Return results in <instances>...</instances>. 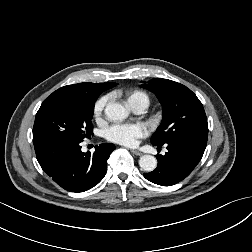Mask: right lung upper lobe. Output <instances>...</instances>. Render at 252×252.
I'll return each instance as SVG.
<instances>
[{"label": "right lung upper lobe", "instance_id": "1", "mask_svg": "<svg viewBox=\"0 0 252 252\" xmlns=\"http://www.w3.org/2000/svg\"><path fill=\"white\" fill-rule=\"evenodd\" d=\"M115 85H117V83L84 82V83L67 85V86L61 87L53 93H66V94H71V95H76V96L97 99L98 96L102 92L114 87Z\"/></svg>", "mask_w": 252, "mask_h": 252}]
</instances>
